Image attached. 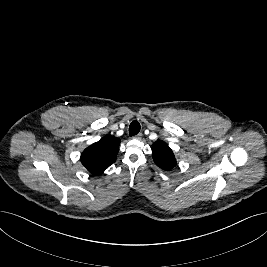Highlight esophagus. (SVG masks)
Here are the masks:
<instances>
[{
    "instance_id": "obj_1",
    "label": "esophagus",
    "mask_w": 267,
    "mask_h": 267,
    "mask_svg": "<svg viewBox=\"0 0 267 267\" xmlns=\"http://www.w3.org/2000/svg\"><path fill=\"white\" fill-rule=\"evenodd\" d=\"M133 138L136 139V140H141L142 139V134L139 133V134L135 135Z\"/></svg>"
}]
</instances>
